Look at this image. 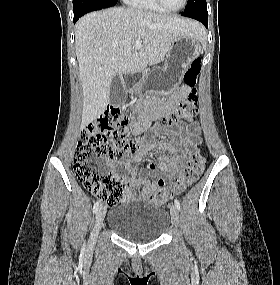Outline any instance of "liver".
Instances as JSON below:
<instances>
[{
	"label": "liver",
	"instance_id": "liver-1",
	"mask_svg": "<svg viewBox=\"0 0 280 285\" xmlns=\"http://www.w3.org/2000/svg\"><path fill=\"white\" fill-rule=\"evenodd\" d=\"M202 26L191 19L132 7L84 15L75 26V51L83 90L81 127L104 113L117 74H134L162 61L182 35L200 39ZM142 47L135 49V42Z\"/></svg>",
	"mask_w": 280,
	"mask_h": 285
}]
</instances>
